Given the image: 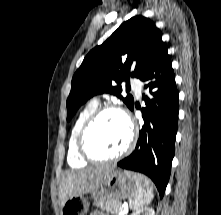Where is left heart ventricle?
<instances>
[{"instance_id": "obj_1", "label": "left heart ventricle", "mask_w": 221, "mask_h": 215, "mask_svg": "<svg viewBox=\"0 0 221 215\" xmlns=\"http://www.w3.org/2000/svg\"><path fill=\"white\" fill-rule=\"evenodd\" d=\"M129 139L128 126L115 112L102 114L88 132V150L98 157H109L125 148Z\"/></svg>"}]
</instances>
